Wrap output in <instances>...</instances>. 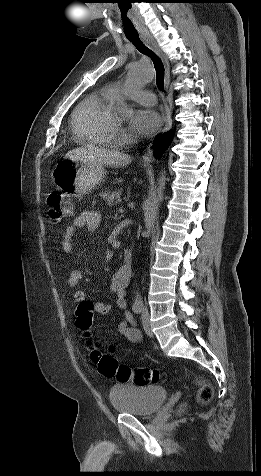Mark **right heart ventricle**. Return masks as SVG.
Listing matches in <instances>:
<instances>
[{
    "label": "right heart ventricle",
    "instance_id": "right-heart-ventricle-1",
    "mask_svg": "<svg viewBox=\"0 0 261 476\" xmlns=\"http://www.w3.org/2000/svg\"><path fill=\"white\" fill-rule=\"evenodd\" d=\"M114 96L108 90L88 94L75 108L72 129L82 144L112 145L116 122L110 113Z\"/></svg>",
    "mask_w": 261,
    "mask_h": 476
}]
</instances>
